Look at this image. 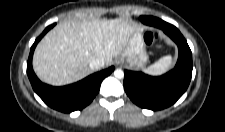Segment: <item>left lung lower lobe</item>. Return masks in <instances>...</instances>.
I'll list each match as a JSON object with an SVG mask.
<instances>
[{"label":"left lung lower lobe","instance_id":"left-lung-lower-lobe-1","mask_svg":"<svg viewBox=\"0 0 225 132\" xmlns=\"http://www.w3.org/2000/svg\"><path fill=\"white\" fill-rule=\"evenodd\" d=\"M141 21L163 30L177 44L179 57L173 70L158 77L125 70L124 89L139 107L161 110L174 104L187 90L192 76V53L175 26L153 16L141 17Z\"/></svg>","mask_w":225,"mask_h":132}]
</instances>
